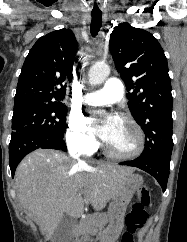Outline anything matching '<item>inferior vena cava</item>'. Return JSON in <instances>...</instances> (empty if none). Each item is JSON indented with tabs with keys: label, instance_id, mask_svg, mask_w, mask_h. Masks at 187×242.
<instances>
[{
	"label": "inferior vena cava",
	"instance_id": "1",
	"mask_svg": "<svg viewBox=\"0 0 187 242\" xmlns=\"http://www.w3.org/2000/svg\"><path fill=\"white\" fill-rule=\"evenodd\" d=\"M71 156L75 159L78 160V164L79 165H84V162H82L80 159H79V154H76L74 151H71Z\"/></svg>",
	"mask_w": 187,
	"mask_h": 242
}]
</instances>
